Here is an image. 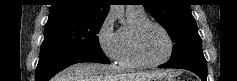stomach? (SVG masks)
I'll return each mask as SVG.
<instances>
[{
	"label": "stomach",
	"mask_w": 237,
	"mask_h": 81,
	"mask_svg": "<svg viewBox=\"0 0 237 81\" xmlns=\"http://www.w3.org/2000/svg\"><path fill=\"white\" fill-rule=\"evenodd\" d=\"M151 81H172V77L167 76V75H161V76H158V77L154 78Z\"/></svg>",
	"instance_id": "obj_1"
}]
</instances>
